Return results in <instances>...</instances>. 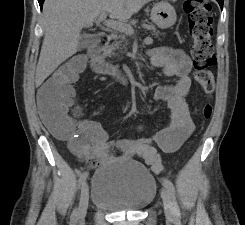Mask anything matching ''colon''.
I'll list each match as a JSON object with an SVG mask.
<instances>
[{
    "instance_id": "5ec220e1",
    "label": "colon",
    "mask_w": 245,
    "mask_h": 225,
    "mask_svg": "<svg viewBox=\"0 0 245 225\" xmlns=\"http://www.w3.org/2000/svg\"><path fill=\"white\" fill-rule=\"evenodd\" d=\"M185 12L188 16L189 32L193 39L191 52L195 62L197 81L204 92L211 96L214 91V79L209 73V69L214 66L216 60L211 41L213 34L211 5L207 0H185ZM81 64L82 62L76 59L65 62L44 82L41 86L42 91L57 100L66 98L71 91L74 70ZM72 112L74 116H79L82 110L80 107H74ZM202 114L206 119L211 117V103L208 102L204 105ZM52 126L56 134L64 139L70 147L76 145L75 127L55 122L52 123ZM158 167L162 172V166Z\"/></svg>"
}]
</instances>
